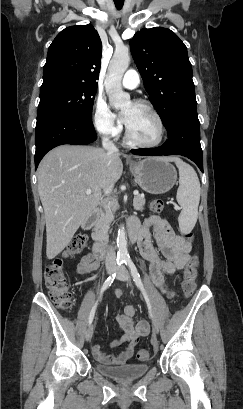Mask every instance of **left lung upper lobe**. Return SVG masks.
I'll use <instances>...</instances> for the list:
<instances>
[{
  "instance_id": "1",
  "label": "left lung upper lobe",
  "mask_w": 243,
  "mask_h": 409,
  "mask_svg": "<svg viewBox=\"0 0 243 409\" xmlns=\"http://www.w3.org/2000/svg\"><path fill=\"white\" fill-rule=\"evenodd\" d=\"M130 47L150 101L167 128L180 112L197 105L186 46L171 30L154 27L137 32Z\"/></svg>"
}]
</instances>
